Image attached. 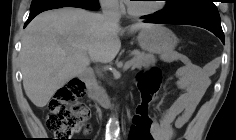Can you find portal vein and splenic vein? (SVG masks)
Returning <instances> with one entry per match:
<instances>
[{"mask_svg": "<svg viewBox=\"0 0 236 140\" xmlns=\"http://www.w3.org/2000/svg\"><path fill=\"white\" fill-rule=\"evenodd\" d=\"M131 65H132V61H127V62L124 64V69L130 68Z\"/></svg>", "mask_w": 236, "mask_h": 140, "instance_id": "18ae733b", "label": "portal vein and splenic vein"}]
</instances>
